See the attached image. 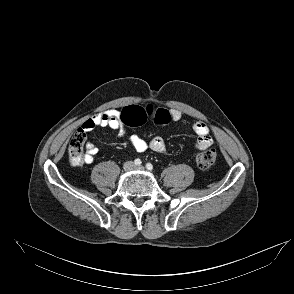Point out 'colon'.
I'll use <instances>...</instances> for the list:
<instances>
[{
	"mask_svg": "<svg viewBox=\"0 0 294 294\" xmlns=\"http://www.w3.org/2000/svg\"><path fill=\"white\" fill-rule=\"evenodd\" d=\"M120 119L123 124L139 126L151 119L156 124H166L172 119L171 111L153 105L138 106L130 105L120 111ZM85 133L82 129L77 130L71 137L68 147L69 159L73 165H81L83 162V148ZM216 160V151L213 148L201 150L196 156V163L202 170L213 166Z\"/></svg>",
	"mask_w": 294,
	"mask_h": 294,
	"instance_id": "5ec220e1",
	"label": "colon"
}]
</instances>
